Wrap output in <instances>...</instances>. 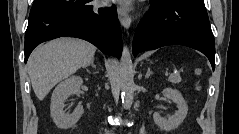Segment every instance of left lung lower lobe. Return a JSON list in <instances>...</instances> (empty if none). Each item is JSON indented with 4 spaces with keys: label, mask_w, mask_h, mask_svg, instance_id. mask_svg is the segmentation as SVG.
Wrapping results in <instances>:
<instances>
[{
    "label": "left lung lower lobe",
    "mask_w": 239,
    "mask_h": 134,
    "mask_svg": "<svg viewBox=\"0 0 239 134\" xmlns=\"http://www.w3.org/2000/svg\"><path fill=\"white\" fill-rule=\"evenodd\" d=\"M137 26L133 55L166 45H184L205 54L215 69V41L204 0H150Z\"/></svg>",
    "instance_id": "1"
}]
</instances>
